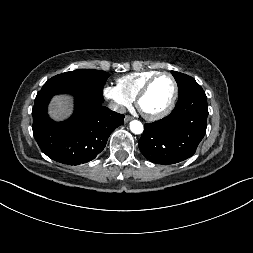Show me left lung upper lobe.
Masks as SVG:
<instances>
[{"mask_svg": "<svg viewBox=\"0 0 253 253\" xmlns=\"http://www.w3.org/2000/svg\"><path fill=\"white\" fill-rule=\"evenodd\" d=\"M172 75L177 82L179 93L185 91L190 85L196 82L194 78L180 72L172 71Z\"/></svg>", "mask_w": 253, "mask_h": 253, "instance_id": "5c2ea615", "label": "left lung upper lobe"}]
</instances>
